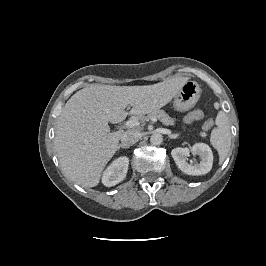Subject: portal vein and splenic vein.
<instances>
[{
    "label": "portal vein and splenic vein",
    "instance_id": "1",
    "mask_svg": "<svg viewBox=\"0 0 266 266\" xmlns=\"http://www.w3.org/2000/svg\"><path fill=\"white\" fill-rule=\"evenodd\" d=\"M151 121L157 122V118L156 117H152ZM139 125H140V122L137 121V120H129V121H127L125 123V126L128 127V128H133V127L139 126Z\"/></svg>",
    "mask_w": 266,
    "mask_h": 266
}]
</instances>
